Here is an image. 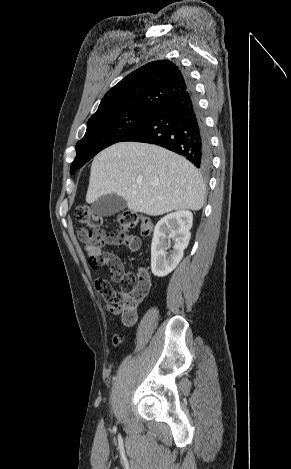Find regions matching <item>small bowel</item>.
<instances>
[{"mask_svg":"<svg viewBox=\"0 0 291 469\" xmlns=\"http://www.w3.org/2000/svg\"><path fill=\"white\" fill-rule=\"evenodd\" d=\"M78 237H79V240L84 244L83 249L87 253V255L89 256V259L93 258V257H100L101 256L105 259V262L108 265H110V264L121 265V262H120L119 258L116 255H114L110 252H104L102 250L101 246H98V245H95V244L91 243L87 239L86 232L84 230L79 231ZM108 244H111V245L125 244L131 251H137L140 247V240H139L138 237H136L134 235H129L128 236V241L126 243H115L114 242V243H108ZM99 282H105V280L97 278L95 280V286ZM138 285L140 287H144L145 290H146V294L148 293V291L150 289V280H149V277L147 276L146 273L142 272V275L140 276ZM103 300L106 302L108 309L114 312L115 304L108 301V300H106L104 297H103Z\"/></svg>","mask_w":291,"mask_h":469,"instance_id":"c3829d8e","label":"small bowel"}]
</instances>
